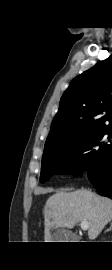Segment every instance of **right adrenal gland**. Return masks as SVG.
I'll return each instance as SVG.
<instances>
[{
    "mask_svg": "<svg viewBox=\"0 0 112 270\" xmlns=\"http://www.w3.org/2000/svg\"><path fill=\"white\" fill-rule=\"evenodd\" d=\"M109 230H112V222H111V224H110V228L107 229L106 231H109ZM106 231H105V232H106Z\"/></svg>",
    "mask_w": 112,
    "mask_h": 270,
    "instance_id": "2a0ac1e0",
    "label": "right adrenal gland"
}]
</instances>
